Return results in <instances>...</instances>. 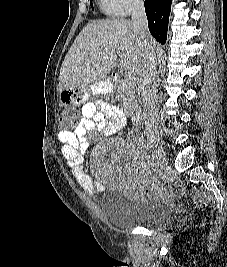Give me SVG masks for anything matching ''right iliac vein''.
<instances>
[{"label":"right iliac vein","instance_id":"1","mask_svg":"<svg viewBox=\"0 0 227 267\" xmlns=\"http://www.w3.org/2000/svg\"><path fill=\"white\" fill-rule=\"evenodd\" d=\"M150 142L152 144L153 149L155 150L157 161L162 170L168 169V161L166 158V154L162 148V145L159 139L156 136L150 138Z\"/></svg>","mask_w":227,"mask_h":267}]
</instances>
